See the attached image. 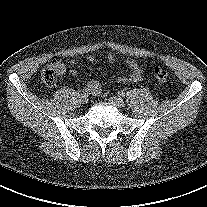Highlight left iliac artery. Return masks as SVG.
I'll use <instances>...</instances> for the list:
<instances>
[{
	"mask_svg": "<svg viewBox=\"0 0 207 207\" xmlns=\"http://www.w3.org/2000/svg\"><path fill=\"white\" fill-rule=\"evenodd\" d=\"M118 95H119L120 97H124V96H125V91H123V90L119 91V92H118Z\"/></svg>",
	"mask_w": 207,
	"mask_h": 207,
	"instance_id": "1",
	"label": "left iliac artery"
}]
</instances>
